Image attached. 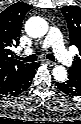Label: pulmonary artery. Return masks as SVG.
<instances>
[{"label":"pulmonary artery","instance_id":"e3ab8cb5","mask_svg":"<svg viewBox=\"0 0 81 124\" xmlns=\"http://www.w3.org/2000/svg\"><path fill=\"white\" fill-rule=\"evenodd\" d=\"M49 46L53 47L57 59L64 65L69 66L73 63L71 55L66 51L64 47L62 35L60 31L55 27L50 28L42 44V48H47Z\"/></svg>","mask_w":81,"mask_h":124}]
</instances>
